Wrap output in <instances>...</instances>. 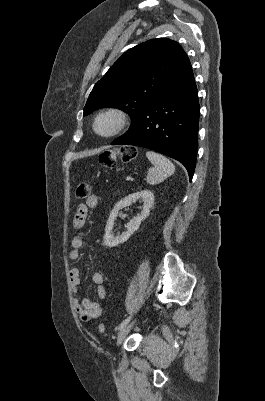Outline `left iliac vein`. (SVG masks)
I'll return each instance as SVG.
<instances>
[{
  "label": "left iliac vein",
  "instance_id": "left-iliac-vein-1",
  "mask_svg": "<svg viewBox=\"0 0 265 401\" xmlns=\"http://www.w3.org/2000/svg\"><path fill=\"white\" fill-rule=\"evenodd\" d=\"M134 323H135V319L131 323H129L128 325H126L124 328H122L120 330V332L118 333V337H117V345H120L124 341L125 337L130 332V330L133 327Z\"/></svg>",
  "mask_w": 265,
  "mask_h": 401
}]
</instances>
